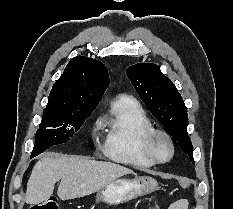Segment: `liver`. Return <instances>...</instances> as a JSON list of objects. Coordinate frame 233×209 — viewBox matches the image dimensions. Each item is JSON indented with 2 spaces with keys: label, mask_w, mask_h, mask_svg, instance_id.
I'll return each instance as SVG.
<instances>
[{
  "label": "liver",
  "mask_w": 233,
  "mask_h": 209,
  "mask_svg": "<svg viewBox=\"0 0 233 209\" xmlns=\"http://www.w3.org/2000/svg\"><path fill=\"white\" fill-rule=\"evenodd\" d=\"M132 172L131 169L112 162L77 156H47L33 167L25 201L30 205L44 202L53 194L55 183L59 180L61 182L57 194L61 200L84 197Z\"/></svg>",
  "instance_id": "liver-1"
}]
</instances>
